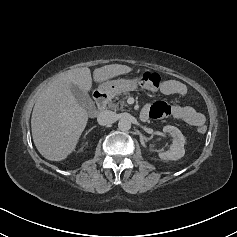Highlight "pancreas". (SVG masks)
<instances>
[{
    "mask_svg": "<svg viewBox=\"0 0 237 237\" xmlns=\"http://www.w3.org/2000/svg\"><path fill=\"white\" fill-rule=\"evenodd\" d=\"M128 97V95H126V96H124L123 97V100H121V101H119V102H117V103H114V102H110L109 104H108V108L109 109H112V110H114V111H118V110H123V108L125 107V106H127V104H126V102H125V99Z\"/></svg>",
    "mask_w": 237,
    "mask_h": 237,
    "instance_id": "pancreas-1",
    "label": "pancreas"
}]
</instances>
